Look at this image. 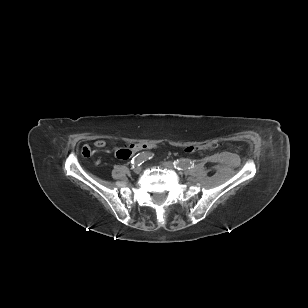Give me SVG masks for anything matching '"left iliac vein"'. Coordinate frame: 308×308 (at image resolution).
I'll use <instances>...</instances> for the list:
<instances>
[{
  "mask_svg": "<svg viewBox=\"0 0 308 308\" xmlns=\"http://www.w3.org/2000/svg\"><path fill=\"white\" fill-rule=\"evenodd\" d=\"M162 166H164L166 168H174V164L172 162H169V161L162 162Z\"/></svg>",
  "mask_w": 308,
  "mask_h": 308,
  "instance_id": "left-iliac-vein-1",
  "label": "left iliac vein"
}]
</instances>
